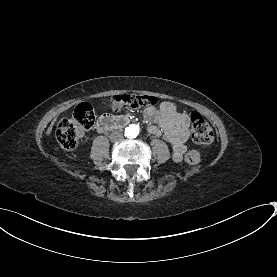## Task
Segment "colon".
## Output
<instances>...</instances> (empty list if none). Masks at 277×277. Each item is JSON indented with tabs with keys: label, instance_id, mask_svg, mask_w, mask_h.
I'll return each mask as SVG.
<instances>
[{
	"label": "colon",
	"instance_id": "5ec220e1",
	"mask_svg": "<svg viewBox=\"0 0 277 277\" xmlns=\"http://www.w3.org/2000/svg\"><path fill=\"white\" fill-rule=\"evenodd\" d=\"M110 108H124L129 106L133 109L152 106L156 103L150 95H116L107 100ZM90 99H79L78 108L68 117L61 120L55 135L56 139L65 150L75 149L84 133L90 130L94 124L95 112L90 108ZM190 134L198 143H211L214 140V132L208 122L200 115L195 114L190 120ZM201 160L198 151L186 154L185 162L188 165H197Z\"/></svg>",
	"mask_w": 277,
	"mask_h": 277
}]
</instances>
